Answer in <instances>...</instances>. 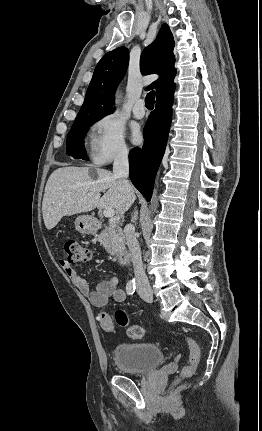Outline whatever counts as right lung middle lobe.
<instances>
[{"instance_id": "1", "label": "right lung middle lobe", "mask_w": 262, "mask_h": 431, "mask_svg": "<svg viewBox=\"0 0 262 431\" xmlns=\"http://www.w3.org/2000/svg\"><path fill=\"white\" fill-rule=\"evenodd\" d=\"M99 119L100 118L75 119L71 131L67 136L66 152L68 155L74 158L87 159L84 149V136L89 127Z\"/></svg>"}]
</instances>
